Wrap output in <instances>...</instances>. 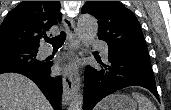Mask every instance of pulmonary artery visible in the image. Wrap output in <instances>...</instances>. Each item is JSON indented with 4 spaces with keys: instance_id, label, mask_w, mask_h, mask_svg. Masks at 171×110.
Instances as JSON below:
<instances>
[{
    "instance_id": "e3ab8cb5",
    "label": "pulmonary artery",
    "mask_w": 171,
    "mask_h": 110,
    "mask_svg": "<svg viewBox=\"0 0 171 110\" xmlns=\"http://www.w3.org/2000/svg\"><path fill=\"white\" fill-rule=\"evenodd\" d=\"M92 44L98 48L102 54V56L104 58H108V49H107V46L101 41V40H98V39H92ZM51 53V50H46L45 51V54L48 55Z\"/></svg>"
}]
</instances>
